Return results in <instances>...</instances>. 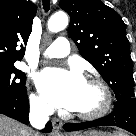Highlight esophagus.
I'll use <instances>...</instances> for the list:
<instances>
[{
	"mask_svg": "<svg viewBox=\"0 0 136 136\" xmlns=\"http://www.w3.org/2000/svg\"><path fill=\"white\" fill-rule=\"evenodd\" d=\"M62 124H63L62 121L57 118H54L52 120V125L55 132H58L61 129Z\"/></svg>",
	"mask_w": 136,
	"mask_h": 136,
	"instance_id": "1",
	"label": "esophagus"
}]
</instances>
